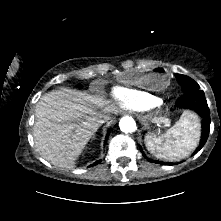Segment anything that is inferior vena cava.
Returning <instances> with one entry per match:
<instances>
[{"label": "inferior vena cava", "instance_id": "inferior-vena-cava-1", "mask_svg": "<svg viewBox=\"0 0 221 221\" xmlns=\"http://www.w3.org/2000/svg\"><path fill=\"white\" fill-rule=\"evenodd\" d=\"M110 119H111L110 114L107 113V112H104V113H102V114L100 115V117H99V122L102 124V123H104V122H106V121H108V120H110Z\"/></svg>", "mask_w": 221, "mask_h": 221}]
</instances>
